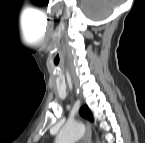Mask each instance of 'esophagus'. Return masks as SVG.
<instances>
[{
    "label": "esophagus",
    "instance_id": "esophagus-1",
    "mask_svg": "<svg viewBox=\"0 0 145 143\" xmlns=\"http://www.w3.org/2000/svg\"><path fill=\"white\" fill-rule=\"evenodd\" d=\"M91 135H92L91 128H90L89 124H87V131H86L85 138H84L85 143H92Z\"/></svg>",
    "mask_w": 145,
    "mask_h": 143
}]
</instances>
